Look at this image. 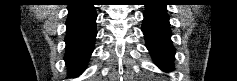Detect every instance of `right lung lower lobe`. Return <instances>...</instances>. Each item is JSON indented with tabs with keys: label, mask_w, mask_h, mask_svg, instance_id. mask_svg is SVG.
Masks as SVG:
<instances>
[{
	"label": "right lung lower lobe",
	"mask_w": 237,
	"mask_h": 81,
	"mask_svg": "<svg viewBox=\"0 0 237 81\" xmlns=\"http://www.w3.org/2000/svg\"><path fill=\"white\" fill-rule=\"evenodd\" d=\"M68 19L65 61L69 68V76L80 75L94 49L96 37V12L90 4L68 5Z\"/></svg>",
	"instance_id": "right-lung-lower-lobe-1"
}]
</instances>
